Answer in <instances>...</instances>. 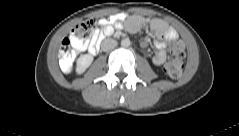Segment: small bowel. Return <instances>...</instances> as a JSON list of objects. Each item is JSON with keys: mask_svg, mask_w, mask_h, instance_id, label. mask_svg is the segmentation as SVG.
Wrapping results in <instances>:
<instances>
[{"mask_svg": "<svg viewBox=\"0 0 239 136\" xmlns=\"http://www.w3.org/2000/svg\"><path fill=\"white\" fill-rule=\"evenodd\" d=\"M99 24L102 26V30H97L91 39L75 41V48L77 51L90 50L91 46L101 35H110L115 29H120L125 26L130 32L135 33L142 27L149 26L155 34L154 44L156 50L153 56V62L160 66L165 63L168 56L167 43L178 39L176 30L160 18L149 19L143 16L127 17L123 13H118L110 18L101 19Z\"/></svg>", "mask_w": 239, "mask_h": 136, "instance_id": "c3829d8e", "label": "small bowel"}]
</instances>
